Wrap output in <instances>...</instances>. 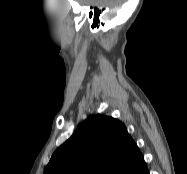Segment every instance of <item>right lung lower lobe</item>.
Instances as JSON below:
<instances>
[{
  "label": "right lung lower lobe",
  "instance_id": "1",
  "mask_svg": "<svg viewBox=\"0 0 187 174\" xmlns=\"http://www.w3.org/2000/svg\"><path fill=\"white\" fill-rule=\"evenodd\" d=\"M140 174H149V172H148V170L146 169V170H144L142 173H140Z\"/></svg>",
  "mask_w": 187,
  "mask_h": 174
}]
</instances>
